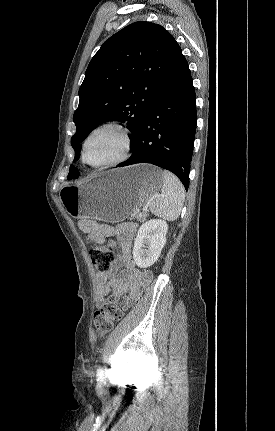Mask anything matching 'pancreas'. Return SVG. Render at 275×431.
Instances as JSON below:
<instances>
[{"label":"pancreas","mask_w":275,"mask_h":431,"mask_svg":"<svg viewBox=\"0 0 275 431\" xmlns=\"http://www.w3.org/2000/svg\"><path fill=\"white\" fill-rule=\"evenodd\" d=\"M146 217H147V214L143 213V214H137L133 218H135L139 222H143L146 219Z\"/></svg>","instance_id":"1"}]
</instances>
